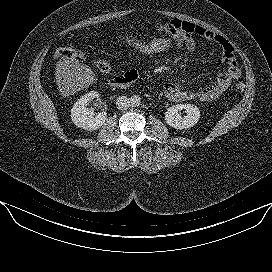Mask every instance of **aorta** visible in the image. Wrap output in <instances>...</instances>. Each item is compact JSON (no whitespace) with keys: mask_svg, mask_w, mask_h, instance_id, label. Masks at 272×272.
I'll return each instance as SVG.
<instances>
[{"mask_svg":"<svg viewBox=\"0 0 272 272\" xmlns=\"http://www.w3.org/2000/svg\"><path fill=\"white\" fill-rule=\"evenodd\" d=\"M130 104L132 107H137L141 104V98L138 95H133L130 97Z\"/></svg>","mask_w":272,"mask_h":272,"instance_id":"aorta-1","label":"aorta"}]
</instances>
